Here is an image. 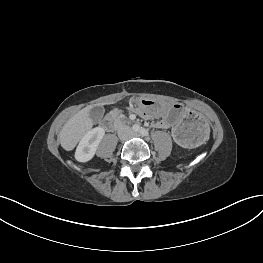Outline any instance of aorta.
Here are the masks:
<instances>
[{"instance_id": "obj_1", "label": "aorta", "mask_w": 263, "mask_h": 263, "mask_svg": "<svg viewBox=\"0 0 263 263\" xmlns=\"http://www.w3.org/2000/svg\"><path fill=\"white\" fill-rule=\"evenodd\" d=\"M133 130L135 131V132H137V131H139L140 130V126L139 125H137V124H135V125H133Z\"/></svg>"}]
</instances>
